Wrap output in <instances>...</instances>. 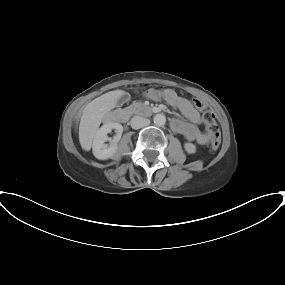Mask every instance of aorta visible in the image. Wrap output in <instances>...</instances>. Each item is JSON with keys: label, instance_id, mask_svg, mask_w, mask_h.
Listing matches in <instances>:
<instances>
[{"label": "aorta", "instance_id": "762f6f07", "mask_svg": "<svg viewBox=\"0 0 285 285\" xmlns=\"http://www.w3.org/2000/svg\"><path fill=\"white\" fill-rule=\"evenodd\" d=\"M154 124L157 126H163L166 123V117L164 114H156L153 118Z\"/></svg>", "mask_w": 285, "mask_h": 285}]
</instances>
